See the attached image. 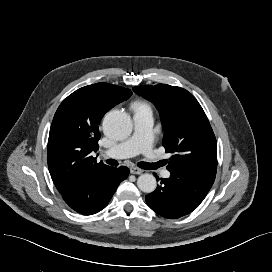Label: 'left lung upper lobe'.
<instances>
[{"instance_id": "5c2ea615", "label": "left lung upper lobe", "mask_w": 272, "mask_h": 272, "mask_svg": "<svg viewBox=\"0 0 272 272\" xmlns=\"http://www.w3.org/2000/svg\"><path fill=\"white\" fill-rule=\"evenodd\" d=\"M157 107L164 130L163 146L171 152L169 171L216 175L217 143L205 112L187 90L158 84L133 87Z\"/></svg>"}]
</instances>
